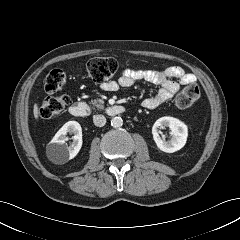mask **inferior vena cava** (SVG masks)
<instances>
[{
	"instance_id": "obj_1",
	"label": "inferior vena cava",
	"mask_w": 240,
	"mask_h": 240,
	"mask_svg": "<svg viewBox=\"0 0 240 240\" xmlns=\"http://www.w3.org/2000/svg\"><path fill=\"white\" fill-rule=\"evenodd\" d=\"M93 122L97 127H103L106 124V118L104 115H95L93 117Z\"/></svg>"
}]
</instances>
